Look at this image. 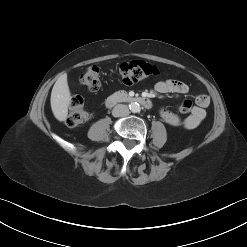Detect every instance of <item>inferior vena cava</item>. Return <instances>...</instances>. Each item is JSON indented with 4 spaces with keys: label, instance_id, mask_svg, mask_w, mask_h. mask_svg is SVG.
<instances>
[{
    "label": "inferior vena cava",
    "instance_id": "1",
    "mask_svg": "<svg viewBox=\"0 0 247 247\" xmlns=\"http://www.w3.org/2000/svg\"><path fill=\"white\" fill-rule=\"evenodd\" d=\"M129 113H130L129 108L127 107V105L124 104L116 105L112 111L114 117L128 116Z\"/></svg>",
    "mask_w": 247,
    "mask_h": 247
}]
</instances>
